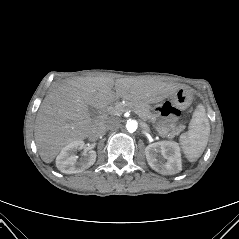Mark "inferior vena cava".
I'll return each mask as SVG.
<instances>
[{
	"mask_svg": "<svg viewBox=\"0 0 239 239\" xmlns=\"http://www.w3.org/2000/svg\"><path fill=\"white\" fill-rule=\"evenodd\" d=\"M113 122H114L113 119H108L107 121L100 123L97 127V135L100 137L104 135L106 130H109L111 128Z\"/></svg>",
	"mask_w": 239,
	"mask_h": 239,
	"instance_id": "inferior-vena-cava-1",
	"label": "inferior vena cava"
}]
</instances>
